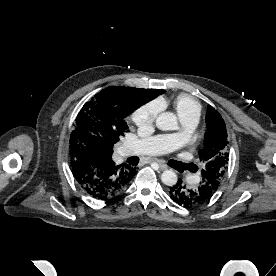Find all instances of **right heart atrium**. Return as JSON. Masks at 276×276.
Here are the masks:
<instances>
[{"label": "right heart atrium", "mask_w": 276, "mask_h": 276, "mask_svg": "<svg viewBox=\"0 0 276 276\" xmlns=\"http://www.w3.org/2000/svg\"><path fill=\"white\" fill-rule=\"evenodd\" d=\"M159 113V106L155 102L147 103L137 108L131 118L133 123L142 130L151 128Z\"/></svg>", "instance_id": "1"}]
</instances>
